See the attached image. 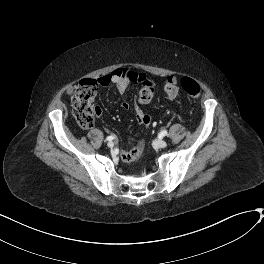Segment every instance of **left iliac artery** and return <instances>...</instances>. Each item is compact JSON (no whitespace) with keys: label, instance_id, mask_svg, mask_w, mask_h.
Instances as JSON below:
<instances>
[{"label":"left iliac artery","instance_id":"left-iliac-artery-1","mask_svg":"<svg viewBox=\"0 0 264 264\" xmlns=\"http://www.w3.org/2000/svg\"><path fill=\"white\" fill-rule=\"evenodd\" d=\"M168 134V132L166 130H162L160 132V136H166Z\"/></svg>","mask_w":264,"mask_h":264}]
</instances>
